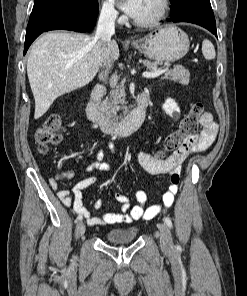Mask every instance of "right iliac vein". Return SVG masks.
<instances>
[{
    "mask_svg": "<svg viewBox=\"0 0 247 296\" xmlns=\"http://www.w3.org/2000/svg\"><path fill=\"white\" fill-rule=\"evenodd\" d=\"M85 233V224L82 221H79L76 226L77 236H82Z\"/></svg>",
    "mask_w": 247,
    "mask_h": 296,
    "instance_id": "63e3f726",
    "label": "right iliac vein"
}]
</instances>
